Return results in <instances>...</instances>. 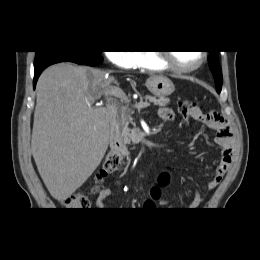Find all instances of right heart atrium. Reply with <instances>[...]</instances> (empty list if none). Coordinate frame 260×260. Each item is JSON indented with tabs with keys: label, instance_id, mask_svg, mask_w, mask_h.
<instances>
[{
	"label": "right heart atrium",
	"instance_id": "1",
	"mask_svg": "<svg viewBox=\"0 0 260 260\" xmlns=\"http://www.w3.org/2000/svg\"><path fill=\"white\" fill-rule=\"evenodd\" d=\"M107 57L115 66L122 69L133 68L137 62V53L134 51H110Z\"/></svg>",
	"mask_w": 260,
	"mask_h": 260
}]
</instances>
